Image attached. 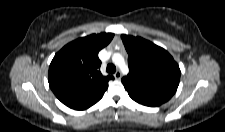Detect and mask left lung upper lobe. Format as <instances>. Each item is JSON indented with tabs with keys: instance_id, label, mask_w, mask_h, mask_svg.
I'll use <instances>...</instances> for the list:
<instances>
[{
	"instance_id": "5c2ea615",
	"label": "left lung upper lobe",
	"mask_w": 225,
	"mask_h": 132,
	"mask_svg": "<svg viewBox=\"0 0 225 132\" xmlns=\"http://www.w3.org/2000/svg\"><path fill=\"white\" fill-rule=\"evenodd\" d=\"M128 52L129 74L122 83L129 96L147 106H159L176 92L180 68L163 48L141 37L121 36Z\"/></svg>"
}]
</instances>
